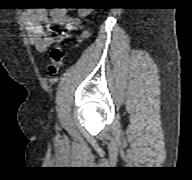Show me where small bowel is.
<instances>
[{"label": "small bowel", "instance_id": "small-bowel-1", "mask_svg": "<svg viewBox=\"0 0 192 180\" xmlns=\"http://www.w3.org/2000/svg\"><path fill=\"white\" fill-rule=\"evenodd\" d=\"M88 9H81L79 17L68 16L66 10L57 8L51 11L46 9H28L22 14V22L28 32V39L35 51L44 53L53 43L54 37L49 33L54 26H64L67 31L76 30L81 23L80 17H86ZM89 32L84 30L81 37H89Z\"/></svg>", "mask_w": 192, "mask_h": 180}]
</instances>
